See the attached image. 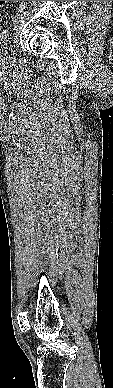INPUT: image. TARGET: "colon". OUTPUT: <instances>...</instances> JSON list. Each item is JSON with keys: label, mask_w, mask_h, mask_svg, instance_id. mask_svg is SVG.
I'll return each instance as SVG.
<instances>
[{"label": "colon", "mask_w": 113, "mask_h": 388, "mask_svg": "<svg viewBox=\"0 0 113 388\" xmlns=\"http://www.w3.org/2000/svg\"><path fill=\"white\" fill-rule=\"evenodd\" d=\"M11 1H0V8L2 9L4 6H6Z\"/></svg>", "instance_id": "colon-1"}]
</instances>
